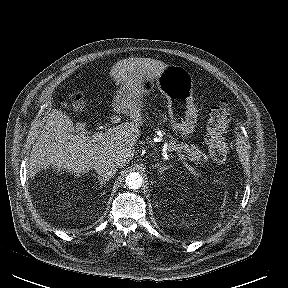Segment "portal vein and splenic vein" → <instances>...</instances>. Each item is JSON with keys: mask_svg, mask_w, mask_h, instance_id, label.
Wrapping results in <instances>:
<instances>
[{"mask_svg": "<svg viewBox=\"0 0 288 288\" xmlns=\"http://www.w3.org/2000/svg\"><path fill=\"white\" fill-rule=\"evenodd\" d=\"M103 138V133L102 132H97L93 135V141H97ZM178 157L180 160H183V164L186 168H190L189 164H188V160L187 158H185V156L183 154H178Z\"/></svg>", "mask_w": 288, "mask_h": 288, "instance_id": "obj_1", "label": "portal vein and splenic vein"}]
</instances>
